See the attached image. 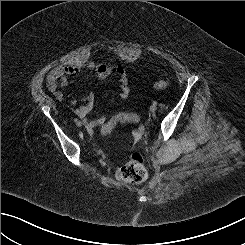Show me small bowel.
Here are the masks:
<instances>
[{"mask_svg":"<svg viewBox=\"0 0 245 245\" xmlns=\"http://www.w3.org/2000/svg\"><path fill=\"white\" fill-rule=\"evenodd\" d=\"M83 68L93 70L95 77L98 80H105L110 75L114 74L118 78L119 83V100H126L130 94V88L126 74L122 68L113 67L107 64H99L92 61L86 63H71L67 65L57 66L52 69L47 76V87L53 92L55 98L60 102H66L72 109L75 115H77L85 124L88 129H94L96 127L103 126L106 123L107 116L105 114L96 118H89V113L93 110L95 95L93 93H87L79 98L67 97L62 91L61 87L66 84V76L75 75L79 73ZM87 76L85 79H89ZM78 100L84 101V105H78ZM110 102L114 103L115 98L112 96Z\"/></svg>","mask_w":245,"mask_h":245,"instance_id":"c3829d8e","label":"small bowel"}]
</instances>
